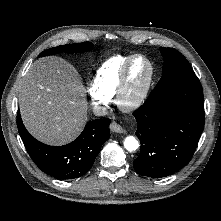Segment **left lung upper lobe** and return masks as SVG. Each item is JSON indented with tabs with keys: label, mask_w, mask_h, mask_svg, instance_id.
Instances as JSON below:
<instances>
[{
	"label": "left lung upper lobe",
	"mask_w": 221,
	"mask_h": 221,
	"mask_svg": "<svg viewBox=\"0 0 221 221\" xmlns=\"http://www.w3.org/2000/svg\"><path fill=\"white\" fill-rule=\"evenodd\" d=\"M160 52L164 58L163 71L154 89L160 90L178 79L195 76L187 59L176 49L161 47Z\"/></svg>",
	"instance_id": "left-lung-upper-lobe-1"
}]
</instances>
